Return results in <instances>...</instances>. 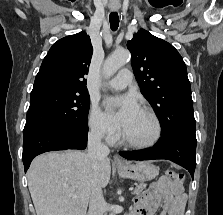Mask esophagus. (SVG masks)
I'll return each mask as SVG.
<instances>
[{
    "label": "esophagus",
    "mask_w": 223,
    "mask_h": 215,
    "mask_svg": "<svg viewBox=\"0 0 223 215\" xmlns=\"http://www.w3.org/2000/svg\"><path fill=\"white\" fill-rule=\"evenodd\" d=\"M113 10H117L116 8H113ZM113 163L117 166V167H123L124 165H126V162L119 157V155L115 154L113 157Z\"/></svg>",
    "instance_id": "34e87169"
}]
</instances>
